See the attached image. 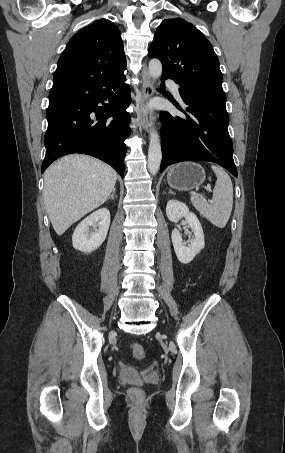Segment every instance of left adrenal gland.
Listing matches in <instances>:
<instances>
[{
	"label": "left adrenal gland",
	"instance_id": "left-adrenal-gland-1",
	"mask_svg": "<svg viewBox=\"0 0 285 453\" xmlns=\"http://www.w3.org/2000/svg\"><path fill=\"white\" fill-rule=\"evenodd\" d=\"M168 193H169V194H174L172 190H169V192H168Z\"/></svg>",
	"mask_w": 285,
	"mask_h": 453
}]
</instances>
